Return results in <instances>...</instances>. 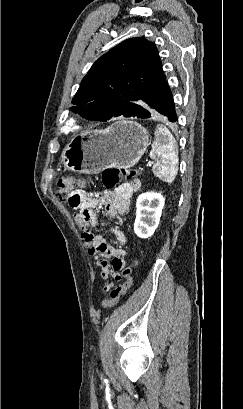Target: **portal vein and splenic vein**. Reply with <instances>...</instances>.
<instances>
[{"label":"portal vein and splenic vein","mask_w":243,"mask_h":409,"mask_svg":"<svg viewBox=\"0 0 243 409\" xmlns=\"http://www.w3.org/2000/svg\"><path fill=\"white\" fill-rule=\"evenodd\" d=\"M152 164H153V163H152V162H150V163L148 164V166H149V167H151V166H152Z\"/></svg>","instance_id":"1"}]
</instances>
